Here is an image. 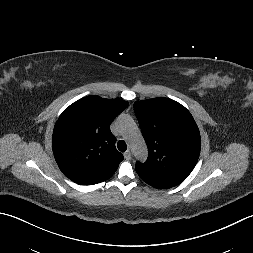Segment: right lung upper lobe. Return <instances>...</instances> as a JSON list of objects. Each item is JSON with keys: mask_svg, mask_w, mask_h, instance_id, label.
<instances>
[{"mask_svg": "<svg viewBox=\"0 0 253 253\" xmlns=\"http://www.w3.org/2000/svg\"><path fill=\"white\" fill-rule=\"evenodd\" d=\"M128 102L87 96L71 104L57 120L52 137L55 160L70 180L94 185L110 178L123 155L115 148L110 124Z\"/></svg>", "mask_w": 253, "mask_h": 253, "instance_id": "1", "label": "right lung upper lobe"}]
</instances>
